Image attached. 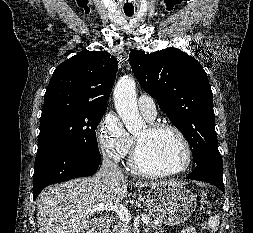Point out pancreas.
<instances>
[{"label":"pancreas","mask_w":253,"mask_h":233,"mask_svg":"<svg viewBox=\"0 0 253 233\" xmlns=\"http://www.w3.org/2000/svg\"><path fill=\"white\" fill-rule=\"evenodd\" d=\"M149 223L147 224V229L150 230L152 233H164L165 229L162 227V224L157 223L155 220L150 219L149 216ZM111 233H131V226L129 222L124 221L123 219L119 218L114 221V225L112 226Z\"/></svg>","instance_id":"cf45deb5"}]
</instances>
